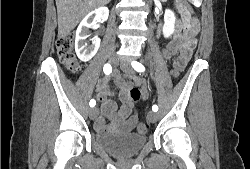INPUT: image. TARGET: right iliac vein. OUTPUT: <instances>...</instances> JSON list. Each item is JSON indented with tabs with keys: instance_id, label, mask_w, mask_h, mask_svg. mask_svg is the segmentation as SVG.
<instances>
[{
	"instance_id": "right-iliac-vein-1",
	"label": "right iliac vein",
	"mask_w": 250,
	"mask_h": 169,
	"mask_svg": "<svg viewBox=\"0 0 250 169\" xmlns=\"http://www.w3.org/2000/svg\"><path fill=\"white\" fill-rule=\"evenodd\" d=\"M108 61L111 64H113L114 66H116L118 64V58L114 54L109 56ZM97 114H98V109L96 107L89 109V117H90V119H95Z\"/></svg>"
}]
</instances>
